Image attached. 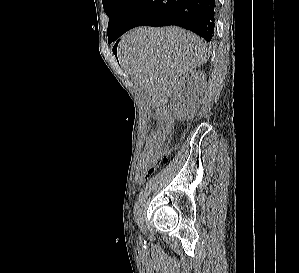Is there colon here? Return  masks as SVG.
I'll use <instances>...</instances> for the list:
<instances>
[{
    "label": "colon",
    "instance_id": "colon-1",
    "mask_svg": "<svg viewBox=\"0 0 299 273\" xmlns=\"http://www.w3.org/2000/svg\"><path fill=\"white\" fill-rule=\"evenodd\" d=\"M170 130L171 128L168 126L163 132L156 133L148 139L138 164V179L150 177L158 163L167 159L169 147L163 145V140L165 134L169 133Z\"/></svg>",
    "mask_w": 299,
    "mask_h": 273
}]
</instances>
